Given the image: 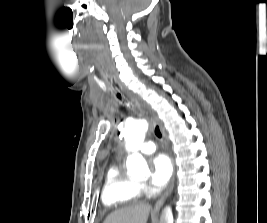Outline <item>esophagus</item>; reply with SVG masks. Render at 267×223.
Returning <instances> with one entry per match:
<instances>
[{
    "label": "esophagus",
    "instance_id": "1",
    "mask_svg": "<svg viewBox=\"0 0 267 223\" xmlns=\"http://www.w3.org/2000/svg\"><path fill=\"white\" fill-rule=\"evenodd\" d=\"M154 118L156 121V124L159 126L160 131L163 135L164 138H166V133H165V129L163 127L162 122L159 120V118L154 114ZM173 183V181H172ZM173 190V184L170 185V187L167 189V191L164 193V195L157 201V203L155 204V210L160 209V207L164 204V202L166 201V199L168 198V196L170 195V193Z\"/></svg>",
    "mask_w": 267,
    "mask_h": 223
}]
</instances>
